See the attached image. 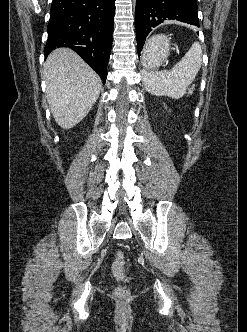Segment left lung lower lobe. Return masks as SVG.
<instances>
[{
  "label": "left lung lower lobe",
  "mask_w": 247,
  "mask_h": 332,
  "mask_svg": "<svg viewBox=\"0 0 247 332\" xmlns=\"http://www.w3.org/2000/svg\"><path fill=\"white\" fill-rule=\"evenodd\" d=\"M168 20H179L199 27L196 0H136L138 53L153 28Z\"/></svg>",
  "instance_id": "1"
}]
</instances>
